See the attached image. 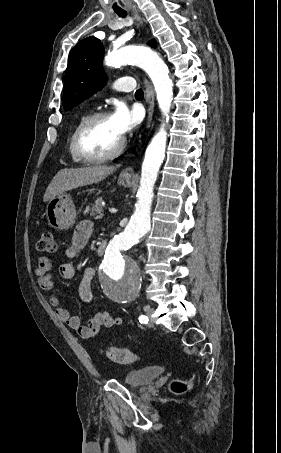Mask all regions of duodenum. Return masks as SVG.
I'll return each mask as SVG.
<instances>
[{"label": "duodenum", "instance_id": "duodenum-1", "mask_svg": "<svg viewBox=\"0 0 281 453\" xmlns=\"http://www.w3.org/2000/svg\"><path fill=\"white\" fill-rule=\"evenodd\" d=\"M106 242L105 241H100L97 245V249H96V252L99 256H102L104 255L105 253V250H106Z\"/></svg>", "mask_w": 281, "mask_h": 453}]
</instances>
